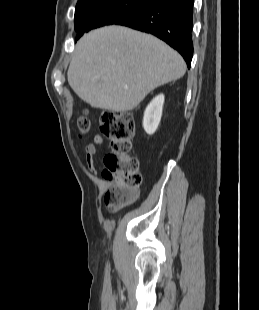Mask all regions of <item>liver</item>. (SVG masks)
<instances>
[{
    "mask_svg": "<svg viewBox=\"0 0 259 310\" xmlns=\"http://www.w3.org/2000/svg\"><path fill=\"white\" fill-rule=\"evenodd\" d=\"M185 72L183 58L158 38L112 25L79 39L67 75L73 91L92 107L125 112Z\"/></svg>",
    "mask_w": 259,
    "mask_h": 310,
    "instance_id": "1",
    "label": "liver"
}]
</instances>
